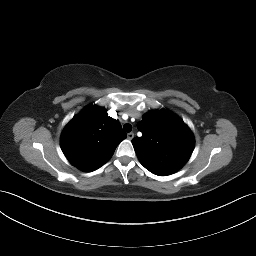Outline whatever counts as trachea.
<instances>
[{"instance_id": "obj_1", "label": "trachea", "mask_w": 256, "mask_h": 256, "mask_svg": "<svg viewBox=\"0 0 256 256\" xmlns=\"http://www.w3.org/2000/svg\"><path fill=\"white\" fill-rule=\"evenodd\" d=\"M123 129L125 132H131L132 130V126L128 123H126L124 126H123Z\"/></svg>"}]
</instances>
